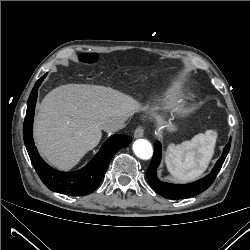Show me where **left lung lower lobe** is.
<instances>
[{
    "mask_svg": "<svg viewBox=\"0 0 250 250\" xmlns=\"http://www.w3.org/2000/svg\"><path fill=\"white\" fill-rule=\"evenodd\" d=\"M230 145L231 139L225 146L222 156L217 161L212 171L206 177L190 184L175 185L160 181L157 178L156 169L161 160V144L159 142H156L152 162L146 171L148 182L154 191L167 199H182L198 195L205 191L215 180L229 152Z\"/></svg>",
    "mask_w": 250,
    "mask_h": 250,
    "instance_id": "obj_1",
    "label": "left lung lower lobe"
}]
</instances>
